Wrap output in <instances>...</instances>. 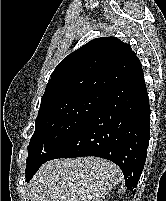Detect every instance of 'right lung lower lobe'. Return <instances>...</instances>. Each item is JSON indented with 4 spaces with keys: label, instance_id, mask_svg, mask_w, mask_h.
Returning a JSON list of instances; mask_svg holds the SVG:
<instances>
[{
    "label": "right lung lower lobe",
    "instance_id": "1",
    "mask_svg": "<svg viewBox=\"0 0 166 201\" xmlns=\"http://www.w3.org/2000/svg\"><path fill=\"white\" fill-rule=\"evenodd\" d=\"M149 137L150 106L139 63L104 94L95 110L55 148L47 161L81 156L108 159L120 167L125 186L135 194Z\"/></svg>",
    "mask_w": 166,
    "mask_h": 201
}]
</instances>
